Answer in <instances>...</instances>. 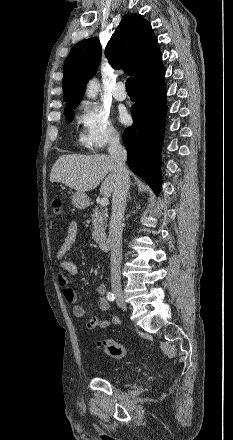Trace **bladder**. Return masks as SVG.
I'll use <instances>...</instances> for the list:
<instances>
[{"instance_id":"1","label":"bladder","mask_w":233,"mask_h":440,"mask_svg":"<svg viewBox=\"0 0 233 440\" xmlns=\"http://www.w3.org/2000/svg\"><path fill=\"white\" fill-rule=\"evenodd\" d=\"M116 376L119 378H122V379H127L131 376V374L128 372H121V373H118Z\"/></svg>"}]
</instances>
